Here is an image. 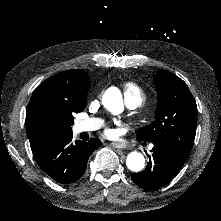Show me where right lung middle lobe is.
Here are the masks:
<instances>
[{
	"label": "right lung middle lobe",
	"instance_id": "dd1d6c3e",
	"mask_svg": "<svg viewBox=\"0 0 221 221\" xmlns=\"http://www.w3.org/2000/svg\"><path fill=\"white\" fill-rule=\"evenodd\" d=\"M81 111L49 99H39L31 107V130L42 145L53 144L72 135L73 114Z\"/></svg>",
	"mask_w": 221,
	"mask_h": 221
}]
</instances>
